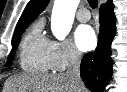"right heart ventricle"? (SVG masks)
I'll return each mask as SVG.
<instances>
[{"mask_svg": "<svg viewBox=\"0 0 127 92\" xmlns=\"http://www.w3.org/2000/svg\"><path fill=\"white\" fill-rule=\"evenodd\" d=\"M43 22H35L24 35L19 51L20 68L28 73L46 74L52 68L49 48L50 40L42 34Z\"/></svg>", "mask_w": 127, "mask_h": 92, "instance_id": "e07e8e85", "label": "right heart ventricle"}]
</instances>
